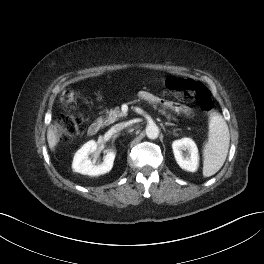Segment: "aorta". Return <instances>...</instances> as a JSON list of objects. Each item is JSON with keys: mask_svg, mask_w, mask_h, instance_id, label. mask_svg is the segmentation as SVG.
I'll use <instances>...</instances> for the list:
<instances>
[{"mask_svg": "<svg viewBox=\"0 0 264 264\" xmlns=\"http://www.w3.org/2000/svg\"><path fill=\"white\" fill-rule=\"evenodd\" d=\"M146 135L149 139H156L159 136V128L156 124H149L146 129Z\"/></svg>", "mask_w": 264, "mask_h": 264, "instance_id": "1", "label": "aorta"}]
</instances>
